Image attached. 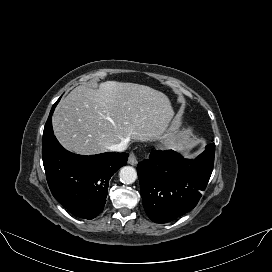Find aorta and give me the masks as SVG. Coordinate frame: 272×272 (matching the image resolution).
<instances>
[{
    "label": "aorta",
    "mask_w": 272,
    "mask_h": 272,
    "mask_svg": "<svg viewBox=\"0 0 272 272\" xmlns=\"http://www.w3.org/2000/svg\"><path fill=\"white\" fill-rule=\"evenodd\" d=\"M120 181L124 184H132L137 179V172L131 166H124L119 172Z\"/></svg>",
    "instance_id": "1"
}]
</instances>
